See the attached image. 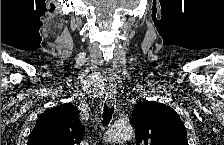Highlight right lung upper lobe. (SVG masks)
<instances>
[{"label":"right lung upper lobe","instance_id":"1","mask_svg":"<svg viewBox=\"0 0 224 145\" xmlns=\"http://www.w3.org/2000/svg\"><path fill=\"white\" fill-rule=\"evenodd\" d=\"M84 137L78 110L70 103L41 114L28 140L29 145H75Z\"/></svg>","mask_w":224,"mask_h":145}]
</instances>
